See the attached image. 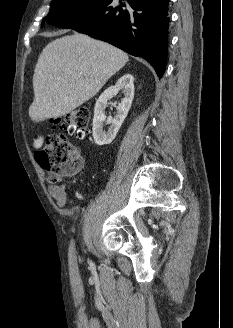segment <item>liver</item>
Wrapping results in <instances>:
<instances>
[{"label":"liver","mask_w":233,"mask_h":328,"mask_svg":"<svg viewBox=\"0 0 233 328\" xmlns=\"http://www.w3.org/2000/svg\"><path fill=\"white\" fill-rule=\"evenodd\" d=\"M122 50L76 33L50 42L33 75L32 121L66 115L94 95L128 61Z\"/></svg>","instance_id":"6515ba94"}]
</instances>
